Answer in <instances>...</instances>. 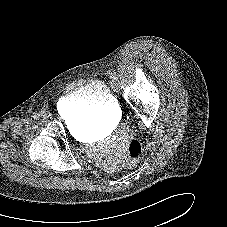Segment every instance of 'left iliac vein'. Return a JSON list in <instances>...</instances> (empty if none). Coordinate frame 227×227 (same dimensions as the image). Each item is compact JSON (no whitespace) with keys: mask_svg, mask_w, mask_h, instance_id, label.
I'll list each match as a JSON object with an SVG mask.
<instances>
[{"mask_svg":"<svg viewBox=\"0 0 227 227\" xmlns=\"http://www.w3.org/2000/svg\"><path fill=\"white\" fill-rule=\"evenodd\" d=\"M111 85L114 87V88H117L118 87V83L116 81H112L111 82Z\"/></svg>","mask_w":227,"mask_h":227,"instance_id":"left-iliac-vein-1","label":"left iliac vein"}]
</instances>
